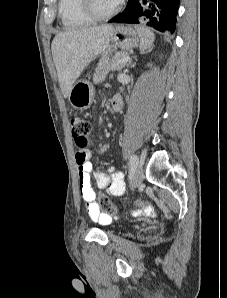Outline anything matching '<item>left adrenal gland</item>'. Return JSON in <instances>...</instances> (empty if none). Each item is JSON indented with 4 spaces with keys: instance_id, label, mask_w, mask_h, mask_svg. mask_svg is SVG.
Here are the masks:
<instances>
[{
    "instance_id": "1",
    "label": "left adrenal gland",
    "mask_w": 227,
    "mask_h": 298,
    "mask_svg": "<svg viewBox=\"0 0 227 298\" xmlns=\"http://www.w3.org/2000/svg\"><path fill=\"white\" fill-rule=\"evenodd\" d=\"M141 53H143V52H141ZM133 58L134 59H136V57L134 56V57H131L130 58V60H129V62L127 63V67H130V66H132V61H133Z\"/></svg>"
}]
</instances>
